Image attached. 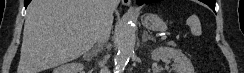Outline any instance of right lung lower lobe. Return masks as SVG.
<instances>
[{"label": "right lung lower lobe", "mask_w": 244, "mask_h": 73, "mask_svg": "<svg viewBox=\"0 0 244 73\" xmlns=\"http://www.w3.org/2000/svg\"><path fill=\"white\" fill-rule=\"evenodd\" d=\"M30 2H31V0H24L25 7H27Z\"/></svg>", "instance_id": "1"}]
</instances>
